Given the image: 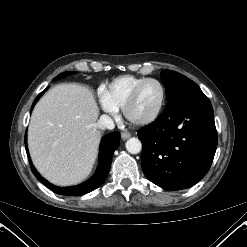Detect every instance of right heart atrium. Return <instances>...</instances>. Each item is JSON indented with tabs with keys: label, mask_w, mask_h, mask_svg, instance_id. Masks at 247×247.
Segmentation results:
<instances>
[{
	"label": "right heart atrium",
	"mask_w": 247,
	"mask_h": 247,
	"mask_svg": "<svg viewBox=\"0 0 247 247\" xmlns=\"http://www.w3.org/2000/svg\"><path fill=\"white\" fill-rule=\"evenodd\" d=\"M99 100H100V105L102 107V109L110 114H115L116 113V109L114 107H112L108 101L105 98V94H104V90H102L99 94Z\"/></svg>",
	"instance_id": "obj_1"
}]
</instances>
